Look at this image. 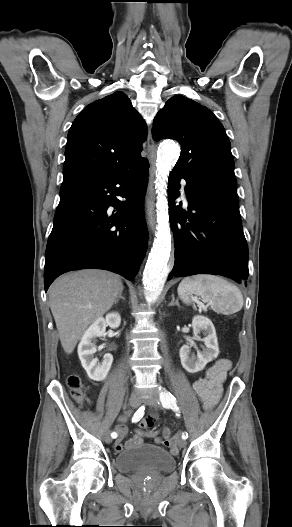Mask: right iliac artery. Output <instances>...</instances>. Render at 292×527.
<instances>
[{
	"label": "right iliac artery",
	"mask_w": 292,
	"mask_h": 527,
	"mask_svg": "<svg viewBox=\"0 0 292 527\" xmlns=\"http://www.w3.org/2000/svg\"><path fill=\"white\" fill-rule=\"evenodd\" d=\"M143 408L141 407L134 415V417L132 418V425H135V423H137V421L140 420V418L142 417L143 415ZM118 434L116 432H112L111 433V437L113 439L117 438Z\"/></svg>",
	"instance_id": "right-iliac-artery-1"
}]
</instances>
